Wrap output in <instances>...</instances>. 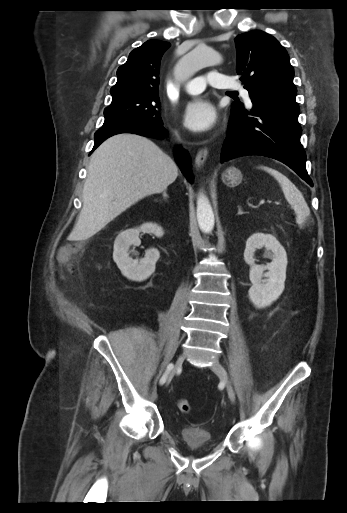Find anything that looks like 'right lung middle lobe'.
<instances>
[{
    "label": "right lung middle lobe",
    "instance_id": "right-lung-middle-lobe-1",
    "mask_svg": "<svg viewBox=\"0 0 347 513\" xmlns=\"http://www.w3.org/2000/svg\"><path fill=\"white\" fill-rule=\"evenodd\" d=\"M159 94L128 93L113 98L111 105L104 110V124L136 119L147 123H162L159 110Z\"/></svg>",
    "mask_w": 347,
    "mask_h": 513
}]
</instances>
